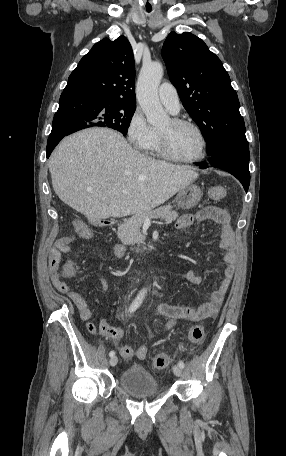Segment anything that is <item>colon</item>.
<instances>
[{"label":"colon","instance_id":"1","mask_svg":"<svg viewBox=\"0 0 286 456\" xmlns=\"http://www.w3.org/2000/svg\"><path fill=\"white\" fill-rule=\"evenodd\" d=\"M210 198L220 199L227 194V190L223 186L212 187L208 191ZM77 231L83 235L87 236L91 233L89 227L82 221L76 223ZM57 276L59 278L66 277L71 278L75 274V269L73 265L67 264L64 267H58L56 270ZM205 336V329L202 325H195L189 331V339L192 343H200ZM147 347L140 346L136 349L135 355L139 359H144L147 355ZM169 357L166 354H158L153 359V365L156 369H164L169 365Z\"/></svg>","mask_w":286,"mask_h":456}]
</instances>
